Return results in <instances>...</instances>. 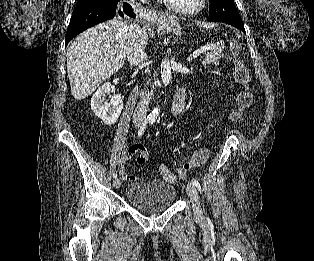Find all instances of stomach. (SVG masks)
Listing matches in <instances>:
<instances>
[{"mask_svg": "<svg viewBox=\"0 0 314 261\" xmlns=\"http://www.w3.org/2000/svg\"><path fill=\"white\" fill-rule=\"evenodd\" d=\"M170 29H172L176 34H180L179 26L176 25V23H173V26Z\"/></svg>", "mask_w": 314, "mask_h": 261, "instance_id": "stomach-1", "label": "stomach"}]
</instances>
